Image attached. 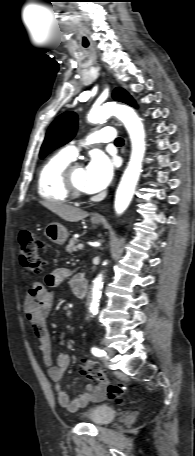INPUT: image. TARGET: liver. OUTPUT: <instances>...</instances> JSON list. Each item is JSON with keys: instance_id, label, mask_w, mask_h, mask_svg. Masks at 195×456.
Returning <instances> with one entry per match:
<instances>
[{"instance_id": "6515ba94", "label": "liver", "mask_w": 195, "mask_h": 456, "mask_svg": "<svg viewBox=\"0 0 195 456\" xmlns=\"http://www.w3.org/2000/svg\"><path fill=\"white\" fill-rule=\"evenodd\" d=\"M40 204L68 222H78L89 215L86 211L61 202L40 201Z\"/></svg>"}]
</instances>
